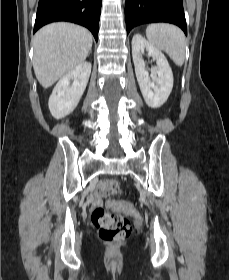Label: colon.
I'll use <instances>...</instances> for the list:
<instances>
[{
    "label": "colon",
    "instance_id": "1",
    "mask_svg": "<svg viewBox=\"0 0 229 280\" xmlns=\"http://www.w3.org/2000/svg\"><path fill=\"white\" fill-rule=\"evenodd\" d=\"M101 192L105 196H112L120 193L121 189L117 181L103 180L100 183ZM128 211L133 215L138 212L132 206H129ZM91 219L98 230L100 238L104 242H117L129 236L131 227L128 220L119 214L108 213L103 207H96L92 214Z\"/></svg>",
    "mask_w": 229,
    "mask_h": 280
}]
</instances>
